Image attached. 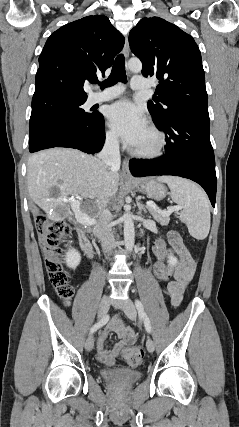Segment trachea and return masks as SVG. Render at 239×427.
I'll list each match as a JSON object with an SVG mask.
<instances>
[{
    "mask_svg": "<svg viewBox=\"0 0 239 427\" xmlns=\"http://www.w3.org/2000/svg\"><path fill=\"white\" fill-rule=\"evenodd\" d=\"M118 81H126L125 60L123 54L116 57L110 76L101 84L98 81L95 83H99L101 89H104L106 87L113 86Z\"/></svg>",
    "mask_w": 239,
    "mask_h": 427,
    "instance_id": "obj_1",
    "label": "trachea"
}]
</instances>
